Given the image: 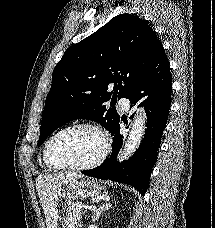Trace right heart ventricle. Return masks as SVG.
I'll list each match as a JSON object with an SVG mask.
<instances>
[{"mask_svg": "<svg viewBox=\"0 0 215 228\" xmlns=\"http://www.w3.org/2000/svg\"><path fill=\"white\" fill-rule=\"evenodd\" d=\"M42 159H43V158H42ZM43 165H44V167H45L46 169H48V167L45 165L44 161H43Z\"/></svg>", "mask_w": 215, "mask_h": 228, "instance_id": "right-heart-ventricle-1", "label": "right heart ventricle"}]
</instances>
